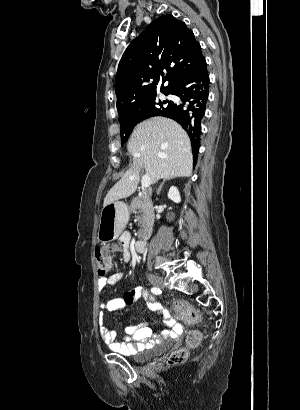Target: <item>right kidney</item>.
Returning a JSON list of instances; mask_svg holds the SVG:
<instances>
[{"label":"right kidney","instance_id":"1","mask_svg":"<svg viewBox=\"0 0 300 410\" xmlns=\"http://www.w3.org/2000/svg\"><path fill=\"white\" fill-rule=\"evenodd\" d=\"M168 198L175 203H179L181 201L180 193L177 187L172 186L168 192Z\"/></svg>","mask_w":300,"mask_h":410}]
</instances>
